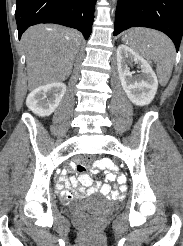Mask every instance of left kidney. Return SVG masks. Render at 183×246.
Returning <instances> with one entry per match:
<instances>
[{"mask_svg": "<svg viewBox=\"0 0 183 246\" xmlns=\"http://www.w3.org/2000/svg\"><path fill=\"white\" fill-rule=\"evenodd\" d=\"M131 62L137 64L140 74L130 71L128 64ZM117 66L121 85L130 101L138 106L150 104L158 89V79L150 64L136 51L121 44L117 48Z\"/></svg>", "mask_w": 183, "mask_h": 246, "instance_id": "5707ae66", "label": "left kidney"}]
</instances>
